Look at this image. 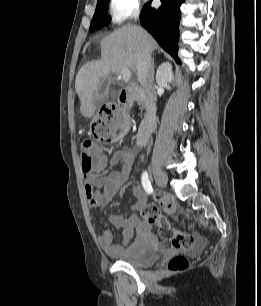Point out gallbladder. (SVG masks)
Instances as JSON below:
<instances>
[{"instance_id":"gallbladder-1","label":"gallbladder","mask_w":261,"mask_h":306,"mask_svg":"<svg viewBox=\"0 0 261 306\" xmlns=\"http://www.w3.org/2000/svg\"><path fill=\"white\" fill-rule=\"evenodd\" d=\"M109 89V81L107 79L102 80L95 91V103L96 105L102 104L106 100L107 92Z\"/></svg>"}]
</instances>
